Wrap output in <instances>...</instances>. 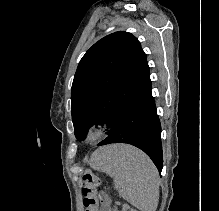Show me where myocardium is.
<instances>
[{
	"label": "myocardium",
	"instance_id": "f54148a6",
	"mask_svg": "<svg viewBox=\"0 0 219 211\" xmlns=\"http://www.w3.org/2000/svg\"><path fill=\"white\" fill-rule=\"evenodd\" d=\"M101 136V129L94 127L90 129L86 135V139L88 142H95L97 141Z\"/></svg>",
	"mask_w": 219,
	"mask_h": 211
}]
</instances>
